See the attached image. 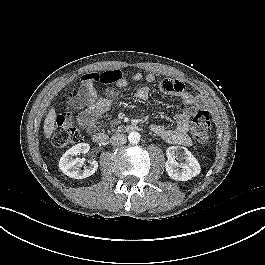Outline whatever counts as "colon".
<instances>
[{
	"label": "colon",
	"instance_id": "obj_1",
	"mask_svg": "<svg viewBox=\"0 0 265 265\" xmlns=\"http://www.w3.org/2000/svg\"><path fill=\"white\" fill-rule=\"evenodd\" d=\"M117 72L94 73L92 77L96 81L111 83L115 81ZM81 109L73 104V97L68 95L63 113L57 116L52 142L57 148L77 143L80 139V131L77 125L82 124ZM211 119L205 110L198 111L191 122L193 137L202 144L210 140Z\"/></svg>",
	"mask_w": 265,
	"mask_h": 265
}]
</instances>
